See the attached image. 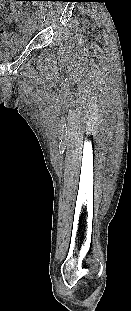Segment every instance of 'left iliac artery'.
I'll use <instances>...</instances> for the list:
<instances>
[{"mask_svg":"<svg viewBox=\"0 0 131 311\" xmlns=\"http://www.w3.org/2000/svg\"><path fill=\"white\" fill-rule=\"evenodd\" d=\"M42 19H44V20H45V17H44V16H42Z\"/></svg>","mask_w":131,"mask_h":311,"instance_id":"left-iliac-artery-1","label":"left iliac artery"}]
</instances>
